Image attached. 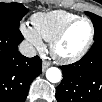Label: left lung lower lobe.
Masks as SVG:
<instances>
[{
    "instance_id": "0a47b994",
    "label": "left lung lower lobe",
    "mask_w": 102,
    "mask_h": 102,
    "mask_svg": "<svg viewBox=\"0 0 102 102\" xmlns=\"http://www.w3.org/2000/svg\"><path fill=\"white\" fill-rule=\"evenodd\" d=\"M60 68L63 79L56 88L58 102H102V39L95 40L81 60Z\"/></svg>"
}]
</instances>
